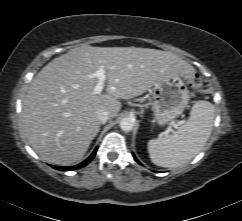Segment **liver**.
Instances as JSON below:
<instances>
[{
	"mask_svg": "<svg viewBox=\"0 0 242 221\" xmlns=\"http://www.w3.org/2000/svg\"><path fill=\"white\" fill-rule=\"evenodd\" d=\"M105 70L106 92L94 94L93 74ZM195 69L168 51L81 45L54 58L31 82L22 109L23 133L42 160L67 166L80 161L99 131L100 109L115 118L122 104L169 76Z\"/></svg>",
	"mask_w": 242,
	"mask_h": 221,
	"instance_id": "1",
	"label": "liver"
}]
</instances>
